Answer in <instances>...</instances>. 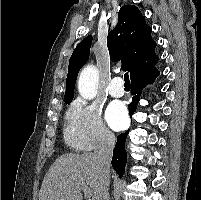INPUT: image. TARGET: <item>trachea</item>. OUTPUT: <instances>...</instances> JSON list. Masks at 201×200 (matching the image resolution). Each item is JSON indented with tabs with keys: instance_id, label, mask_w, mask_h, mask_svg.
Returning <instances> with one entry per match:
<instances>
[{
	"instance_id": "obj_1",
	"label": "trachea",
	"mask_w": 201,
	"mask_h": 200,
	"mask_svg": "<svg viewBox=\"0 0 201 200\" xmlns=\"http://www.w3.org/2000/svg\"><path fill=\"white\" fill-rule=\"evenodd\" d=\"M124 85L125 86H130V81H129V74L128 73H125L124 74Z\"/></svg>"
}]
</instances>
